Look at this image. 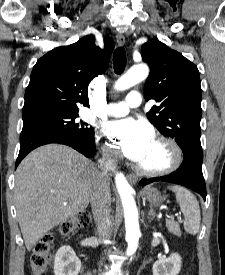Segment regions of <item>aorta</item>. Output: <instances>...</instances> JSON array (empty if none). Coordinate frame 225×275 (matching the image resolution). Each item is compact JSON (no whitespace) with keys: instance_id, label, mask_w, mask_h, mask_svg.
<instances>
[{"instance_id":"obj_1","label":"aorta","mask_w":225,"mask_h":275,"mask_svg":"<svg viewBox=\"0 0 225 275\" xmlns=\"http://www.w3.org/2000/svg\"><path fill=\"white\" fill-rule=\"evenodd\" d=\"M148 74L149 69L145 64L135 65L115 82L114 89L117 91L129 89L146 79ZM115 184L124 210L127 255H132L137 250L140 236L138 210L133 197V188L121 172L116 173Z\"/></svg>"}]
</instances>
